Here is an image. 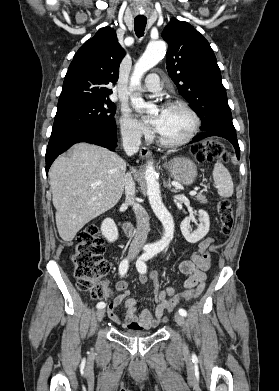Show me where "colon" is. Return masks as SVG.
<instances>
[{
  "instance_id": "1",
  "label": "colon",
  "mask_w": 279,
  "mask_h": 391,
  "mask_svg": "<svg viewBox=\"0 0 279 391\" xmlns=\"http://www.w3.org/2000/svg\"><path fill=\"white\" fill-rule=\"evenodd\" d=\"M195 159L200 163L212 162L216 159H227L222 143L215 140H206L192 147ZM217 213L220 218L221 233L224 236L231 234L234 227L233 206L229 199L221 198L217 203ZM104 240L97 226L91 225L82 230L74 246L71 262L77 287L89 292L93 299H101L110 295L109 290L100 283V278L108 271L109 264L103 258ZM206 261L211 260L208 251L203 253ZM195 289H186L168 300L167 311L171 312L182 301L195 296Z\"/></svg>"
}]
</instances>
